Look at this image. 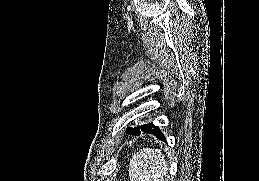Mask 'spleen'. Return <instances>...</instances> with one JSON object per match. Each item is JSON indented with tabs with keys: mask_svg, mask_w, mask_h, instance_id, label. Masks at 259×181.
I'll list each match as a JSON object with an SVG mask.
<instances>
[{
	"mask_svg": "<svg viewBox=\"0 0 259 181\" xmlns=\"http://www.w3.org/2000/svg\"><path fill=\"white\" fill-rule=\"evenodd\" d=\"M168 165L161 150L143 148L130 160V181H168Z\"/></svg>",
	"mask_w": 259,
	"mask_h": 181,
	"instance_id": "1",
	"label": "spleen"
}]
</instances>
